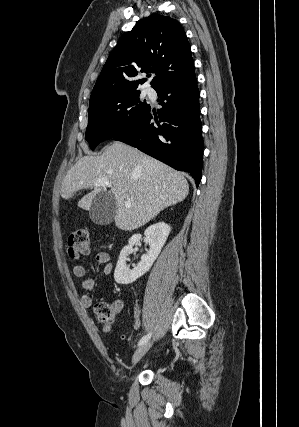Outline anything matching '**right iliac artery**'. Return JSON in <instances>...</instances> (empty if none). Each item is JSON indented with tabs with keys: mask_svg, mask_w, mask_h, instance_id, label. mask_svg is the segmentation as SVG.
I'll return each instance as SVG.
<instances>
[{
	"mask_svg": "<svg viewBox=\"0 0 299 427\" xmlns=\"http://www.w3.org/2000/svg\"><path fill=\"white\" fill-rule=\"evenodd\" d=\"M150 337H151V333H148L147 335L143 336V337L140 339V341H139V343H138V346H141V345H143L144 343H146V342L150 339Z\"/></svg>",
	"mask_w": 299,
	"mask_h": 427,
	"instance_id": "obj_1",
	"label": "right iliac artery"
}]
</instances>
